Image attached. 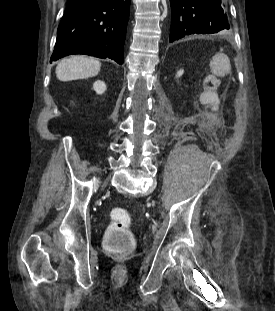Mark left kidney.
Masks as SVG:
<instances>
[{
    "mask_svg": "<svg viewBox=\"0 0 275 311\" xmlns=\"http://www.w3.org/2000/svg\"><path fill=\"white\" fill-rule=\"evenodd\" d=\"M183 74V70L177 71L176 77H179ZM178 82L180 81L179 79L177 80Z\"/></svg>",
    "mask_w": 275,
    "mask_h": 311,
    "instance_id": "left-kidney-1",
    "label": "left kidney"
}]
</instances>
